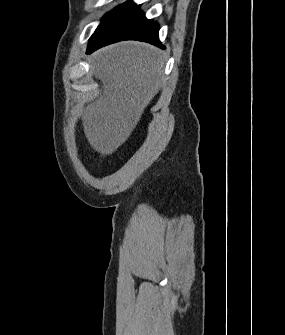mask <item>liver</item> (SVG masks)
Here are the masks:
<instances>
[{
	"instance_id": "1",
	"label": "liver",
	"mask_w": 285,
	"mask_h": 335,
	"mask_svg": "<svg viewBox=\"0 0 285 335\" xmlns=\"http://www.w3.org/2000/svg\"><path fill=\"white\" fill-rule=\"evenodd\" d=\"M103 96L82 114L84 134L93 150L108 156L136 128L145 108L164 84L162 52L141 42H120L92 56Z\"/></svg>"
}]
</instances>
